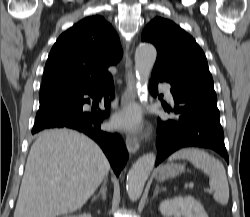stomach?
I'll use <instances>...</instances> for the list:
<instances>
[{
    "mask_svg": "<svg viewBox=\"0 0 250 217\" xmlns=\"http://www.w3.org/2000/svg\"><path fill=\"white\" fill-rule=\"evenodd\" d=\"M185 166L181 164H166L158 168L156 172V179L163 182L168 178H173L178 174L184 172Z\"/></svg>",
    "mask_w": 250,
    "mask_h": 217,
    "instance_id": "1",
    "label": "stomach"
}]
</instances>
